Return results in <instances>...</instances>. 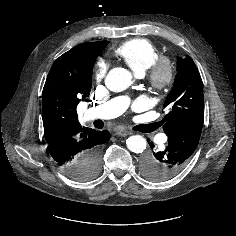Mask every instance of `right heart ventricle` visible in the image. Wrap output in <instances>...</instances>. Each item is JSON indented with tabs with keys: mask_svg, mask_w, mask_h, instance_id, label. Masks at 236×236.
Masks as SVG:
<instances>
[{
	"mask_svg": "<svg viewBox=\"0 0 236 236\" xmlns=\"http://www.w3.org/2000/svg\"><path fill=\"white\" fill-rule=\"evenodd\" d=\"M114 55L130 66L136 74H143L161 55L160 48L146 38H133L116 47Z\"/></svg>",
	"mask_w": 236,
	"mask_h": 236,
	"instance_id": "e07e8e85",
	"label": "right heart ventricle"
}]
</instances>
